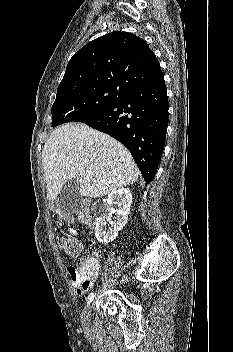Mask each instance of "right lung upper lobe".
<instances>
[{"label":"right lung upper lobe","mask_w":233,"mask_h":352,"mask_svg":"<svg viewBox=\"0 0 233 352\" xmlns=\"http://www.w3.org/2000/svg\"><path fill=\"white\" fill-rule=\"evenodd\" d=\"M162 76L155 54L143 39L114 31L89 42L72 56L57 95L102 85L132 91Z\"/></svg>","instance_id":"right-lung-upper-lobe-1"}]
</instances>
